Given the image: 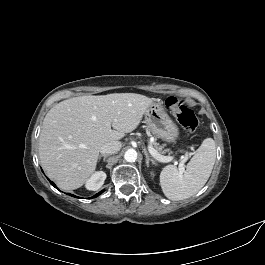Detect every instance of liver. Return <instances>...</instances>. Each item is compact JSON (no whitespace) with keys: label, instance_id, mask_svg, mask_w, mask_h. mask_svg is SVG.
I'll list each match as a JSON object with an SVG mask.
<instances>
[{"label":"liver","instance_id":"obj_1","mask_svg":"<svg viewBox=\"0 0 265 265\" xmlns=\"http://www.w3.org/2000/svg\"><path fill=\"white\" fill-rule=\"evenodd\" d=\"M152 103L141 94L113 93L74 97L52 107L39 137V159L48 177L64 191L81 187L95 172L102 145L135 130Z\"/></svg>","mask_w":265,"mask_h":265}]
</instances>
